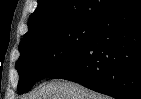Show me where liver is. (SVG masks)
I'll use <instances>...</instances> for the list:
<instances>
[{
  "label": "liver",
  "instance_id": "6515ba94",
  "mask_svg": "<svg viewBox=\"0 0 141 99\" xmlns=\"http://www.w3.org/2000/svg\"><path fill=\"white\" fill-rule=\"evenodd\" d=\"M26 99H110L67 80H53L37 87Z\"/></svg>",
  "mask_w": 141,
  "mask_h": 99
}]
</instances>
